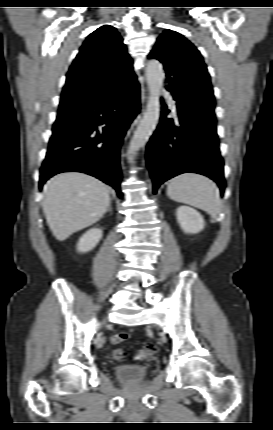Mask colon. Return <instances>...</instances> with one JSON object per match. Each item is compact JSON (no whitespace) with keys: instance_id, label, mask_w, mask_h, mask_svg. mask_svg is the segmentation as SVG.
Listing matches in <instances>:
<instances>
[{"instance_id":"obj_1","label":"colon","mask_w":273,"mask_h":430,"mask_svg":"<svg viewBox=\"0 0 273 430\" xmlns=\"http://www.w3.org/2000/svg\"><path fill=\"white\" fill-rule=\"evenodd\" d=\"M129 335L125 332H119L112 336L111 342L113 344H119L127 340ZM155 352V347L152 344H146L141 349H139L135 355L137 360H146L150 358ZM113 357L117 360H121L124 357V352L121 349H116L113 352Z\"/></svg>"}]
</instances>
